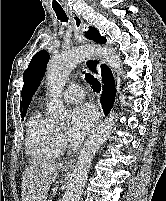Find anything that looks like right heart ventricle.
<instances>
[{
	"label": "right heart ventricle",
	"instance_id": "obj_1",
	"mask_svg": "<svg viewBox=\"0 0 166 201\" xmlns=\"http://www.w3.org/2000/svg\"><path fill=\"white\" fill-rule=\"evenodd\" d=\"M26 149L34 163L55 160L62 153L59 133L41 111L34 112L28 122Z\"/></svg>",
	"mask_w": 166,
	"mask_h": 201
}]
</instances>
